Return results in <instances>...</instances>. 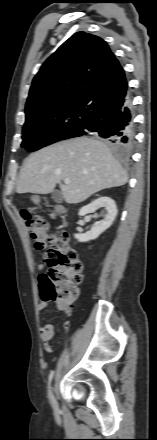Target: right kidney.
<instances>
[{
	"instance_id": "right-kidney-1",
	"label": "right kidney",
	"mask_w": 157,
	"mask_h": 440,
	"mask_svg": "<svg viewBox=\"0 0 157 440\" xmlns=\"http://www.w3.org/2000/svg\"><path fill=\"white\" fill-rule=\"evenodd\" d=\"M104 208L107 211V214L105 215L104 219L101 221L96 222L92 229L88 231L85 234H75L74 237L79 242H87L89 240H94L98 238L106 229H108L113 221L115 220V217L117 215V206L113 199L110 197H99L98 199L92 201L90 204L82 207L79 210V216H85L89 213H94L96 210Z\"/></svg>"
}]
</instances>
